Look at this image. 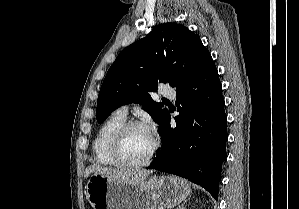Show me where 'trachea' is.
<instances>
[{
	"label": "trachea",
	"instance_id": "3493384b",
	"mask_svg": "<svg viewBox=\"0 0 299 209\" xmlns=\"http://www.w3.org/2000/svg\"><path fill=\"white\" fill-rule=\"evenodd\" d=\"M163 101H167V102H168V100H167V99H163Z\"/></svg>",
	"mask_w": 299,
	"mask_h": 209
}]
</instances>
